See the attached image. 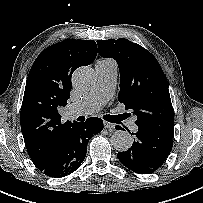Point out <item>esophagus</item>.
Returning <instances> with one entry per match:
<instances>
[{"instance_id":"obj_1","label":"esophagus","mask_w":203,"mask_h":203,"mask_svg":"<svg viewBox=\"0 0 203 203\" xmlns=\"http://www.w3.org/2000/svg\"><path fill=\"white\" fill-rule=\"evenodd\" d=\"M104 127H105L106 129L111 130V131L115 129V125H114L113 123H109V122H107V121H104Z\"/></svg>"}]
</instances>
